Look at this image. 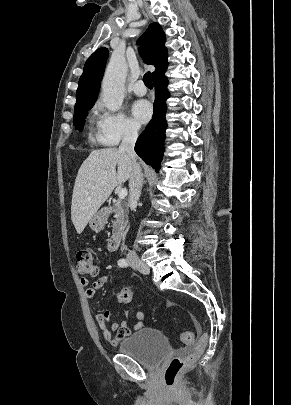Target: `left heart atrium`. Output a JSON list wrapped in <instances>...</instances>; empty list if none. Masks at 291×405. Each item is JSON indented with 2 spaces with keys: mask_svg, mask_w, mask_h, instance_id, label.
Here are the masks:
<instances>
[{
  "mask_svg": "<svg viewBox=\"0 0 291 405\" xmlns=\"http://www.w3.org/2000/svg\"><path fill=\"white\" fill-rule=\"evenodd\" d=\"M132 114L139 123L147 122L152 114V106L147 100H138L132 106Z\"/></svg>",
  "mask_w": 291,
  "mask_h": 405,
  "instance_id": "1",
  "label": "left heart atrium"
}]
</instances>
